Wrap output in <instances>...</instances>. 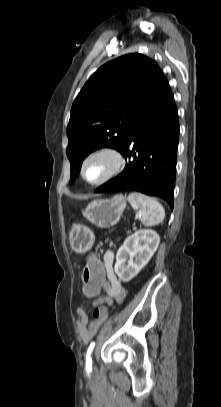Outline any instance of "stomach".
<instances>
[{
  "label": "stomach",
  "instance_id": "obj_1",
  "mask_svg": "<svg viewBox=\"0 0 221 407\" xmlns=\"http://www.w3.org/2000/svg\"><path fill=\"white\" fill-rule=\"evenodd\" d=\"M125 207L126 197L120 194L110 199L93 200L82 214L92 224L109 228L118 223ZM94 239L93 232L85 225L74 224L70 231V245L75 252L84 253L89 250Z\"/></svg>",
  "mask_w": 221,
  "mask_h": 407
}]
</instances>
